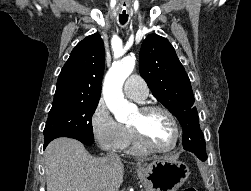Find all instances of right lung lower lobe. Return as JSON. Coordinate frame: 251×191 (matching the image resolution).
<instances>
[{
  "mask_svg": "<svg viewBox=\"0 0 251 191\" xmlns=\"http://www.w3.org/2000/svg\"><path fill=\"white\" fill-rule=\"evenodd\" d=\"M67 137L77 139V140L81 141V142H82L83 144H85V145H92V144H93V141H92V140L85 139V138H82V137H79V136L71 135V136H67ZM47 145H48V144H44V149L46 148Z\"/></svg>",
  "mask_w": 251,
  "mask_h": 191,
  "instance_id": "98d812e1",
  "label": "right lung lower lobe"
}]
</instances>
